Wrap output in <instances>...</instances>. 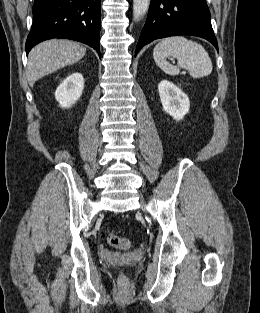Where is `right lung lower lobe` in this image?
I'll return each mask as SVG.
<instances>
[{"label": "right lung lower lobe", "instance_id": "right-lung-lower-lobe-1", "mask_svg": "<svg viewBox=\"0 0 260 313\" xmlns=\"http://www.w3.org/2000/svg\"><path fill=\"white\" fill-rule=\"evenodd\" d=\"M34 22L26 41V53L51 38H67L100 53V0H35Z\"/></svg>", "mask_w": 260, "mask_h": 313}]
</instances>
